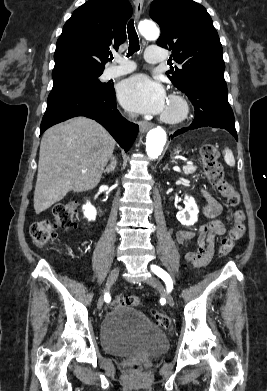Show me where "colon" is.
I'll list each match as a JSON object with an SVG mask.
<instances>
[{
    "instance_id": "1",
    "label": "colon",
    "mask_w": 267,
    "mask_h": 391,
    "mask_svg": "<svg viewBox=\"0 0 267 391\" xmlns=\"http://www.w3.org/2000/svg\"><path fill=\"white\" fill-rule=\"evenodd\" d=\"M219 152L214 144L207 143L201 148V158L204 166L205 176L211 186L227 200L231 207H237L240 203V197L235 188L225 180L223 168L218 161ZM78 212V203L76 201H67L58 203L52 211V218H44L34 222L30 227V234L34 243L38 247L46 246L57 236V230L68 231L75 228V217ZM245 214L242 210H235L233 213V225L226 236H224L219 245V253L222 256L227 255L233 249L235 243L241 239L245 233ZM141 299L136 295H118L114 298L112 305L115 307L128 305L137 307ZM151 316L155 323L168 329L171 325L170 318L155 310L151 311ZM133 370H139L140 364H134Z\"/></svg>"
}]
</instances>
